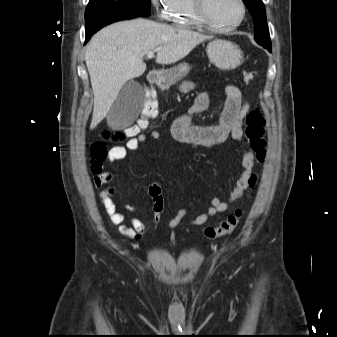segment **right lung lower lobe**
<instances>
[{"label": "right lung lower lobe", "mask_w": 337, "mask_h": 337, "mask_svg": "<svg viewBox=\"0 0 337 337\" xmlns=\"http://www.w3.org/2000/svg\"><path fill=\"white\" fill-rule=\"evenodd\" d=\"M138 16L140 15L126 13V12H112V13L102 14V15L89 19L86 22V26H85V43H87L90 40L91 36L94 33H96L98 30H100L102 27L108 24H111L113 22H116V21L132 19Z\"/></svg>", "instance_id": "right-lung-lower-lobe-1"}]
</instances>
